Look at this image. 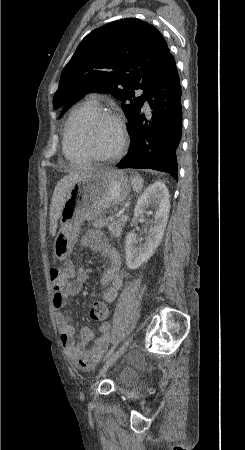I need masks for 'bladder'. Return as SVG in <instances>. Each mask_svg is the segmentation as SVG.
<instances>
[{
	"mask_svg": "<svg viewBox=\"0 0 245 450\" xmlns=\"http://www.w3.org/2000/svg\"><path fill=\"white\" fill-rule=\"evenodd\" d=\"M126 379V373H121L118 377V381H124Z\"/></svg>",
	"mask_w": 245,
	"mask_h": 450,
	"instance_id": "bladder-1",
	"label": "bladder"
}]
</instances>
